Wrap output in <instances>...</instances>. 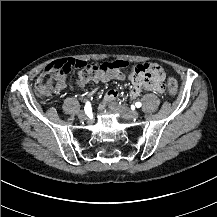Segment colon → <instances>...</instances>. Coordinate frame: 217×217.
<instances>
[{"instance_id":"1","label":"colon","mask_w":217,"mask_h":217,"mask_svg":"<svg viewBox=\"0 0 217 217\" xmlns=\"http://www.w3.org/2000/svg\"><path fill=\"white\" fill-rule=\"evenodd\" d=\"M91 68L94 72L103 71H119L132 68L133 77L138 82L148 84H157L165 74L164 68L157 63L137 64L133 67L126 60H119L116 56H110L106 61L94 59L91 63L78 61L73 57H66L53 62L46 66L45 74L36 83V91L41 96L53 97L60 95L65 87V82L62 79L63 75H68L75 70H80L86 75L91 73L88 71ZM169 95L176 96L178 92L177 81L171 77L167 84Z\"/></svg>"}]
</instances>
